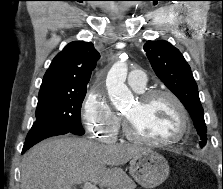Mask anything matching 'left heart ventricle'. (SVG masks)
Segmentation results:
<instances>
[{"mask_svg":"<svg viewBox=\"0 0 223 189\" xmlns=\"http://www.w3.org/2000/svg\"><path fill=\"white\" fill-rule=\"evenodd\" d=\"M135 131L153 139L172 138L180 129V114L168 97H157L145 104L138 101L126 112Z\"/></svg>","mask_w":223,"mask_h":189,"instance_id":"obj_1","label":"left heart ventricle"}]
</instances>
